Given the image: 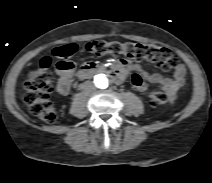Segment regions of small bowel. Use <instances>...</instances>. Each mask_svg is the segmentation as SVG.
I'll list each match as a JSON object with an SVG mask.
<instances>
[{
	"instance_id": "small-bowel-1",
	"label": "small bowel",
	"mask_w": 212,
	"mask_h": 183,
	"mask_svg": "<svg viewBox=\"0 0 212 183\" xmlns=\"http://www.w3.org/2000/svg\"><path fill=\"white\" fill-rule=\"evenodd\" d=\"M118 69L124 74L133 71L131 77V83L135 89L140 92L147 90V85L145 81L152 84L158 85L169 98V101H173L180 89L183 87L185 82L186 70L181 64L176 67L173 77L168 78L160 73H149L143 68L140 62H130L128 60H121L118 64ZM58 80L56 84L57 92L66 96L71 91L73 83V72H64L57 67Z\"/></svg>"
}]
</instances>
